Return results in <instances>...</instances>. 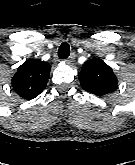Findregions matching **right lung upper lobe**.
<instances>
[{"instance_id":"right-lung-upper-lobe-1","label":"right lung upper lobe","mask_w":135,"mask_h":165,"mask_svg":"<svg viewBox=\"0 0 135 165\" xmlns=\"http://www.w3.org/2000/svg\"><path fill=\"white\" fill-rule=\"evenodd\" d=\"M50 70V65L44 61L26 60L12 78L14 91L24 99L37 97L47 85Z\"/></svg>"}]
</instances>
